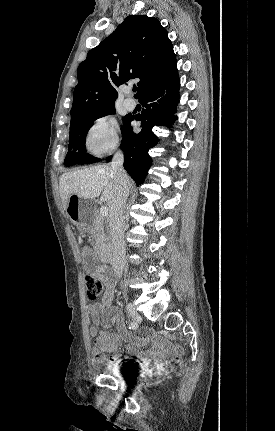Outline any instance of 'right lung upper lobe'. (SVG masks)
Returning a JSON list of instances; mask_svg holds the SVG:
<instances>
[{"instance_id":"right-lung-upper-lobe-1","label":"right lung upper lobe","mask_w":275,"mask_h":431,"mask_svg":"<svg viewBox=\"0 0 275 431\" xmlns=\"http://www.w3.org/2000/svg\"><path fill=\"white\" fill-rule=\"evenodd\" d=\"M176 69L173 46L159 21L146 15L128 16L79 65L71 122L114 107L117 88L129 80L139 79L135 98H140Z\"/></svg>"}]
</instances>
